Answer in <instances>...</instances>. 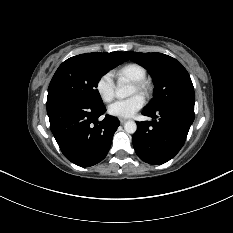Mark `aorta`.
<instances>
[{
    "mask_svg": "<svg viewBox=\"0 0 233 233\" xmlns=\"http://www.w3.org/2000/svg\"><path fill=\"white\" fill-rule=\"evenodd\" d=\"M134 93V89L133 87L129 86V85H125V84H120L116 90V96L118 98H126L131 96ZM124 130L129 133V134H133L136 132L137 130V124L132 121L129 120L127 122H125L124 124Z\"/></svg>",
    "mask_w": 233,
    "mask_h": 233,
    "instance_id": "762f6f07",
    "label": "aorta"
}]
</instances>
